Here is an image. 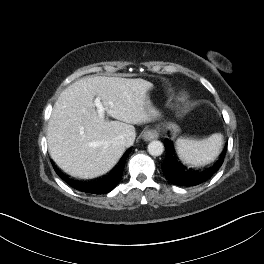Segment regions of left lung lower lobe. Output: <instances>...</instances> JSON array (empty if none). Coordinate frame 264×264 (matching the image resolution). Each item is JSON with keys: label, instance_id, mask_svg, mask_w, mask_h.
Segmentation results:
<instances>
[{"label": "left lung lower lobe", "instance_id": "1", "mask_svg": "<svg viewBox=\"0 0 264 264\" xmlns=\"http://www.w3.org/2000/svg\"><path fill=\"white\" fill-rule=\"evenodd\" d=\"M164 143L167 156L162 164V171L172 184L180 186H195L208 180L222 166L226 154L225 147L219 159L211 167L195 171L186 168L178 161L171 141L166 139Z\"/></svg>", "mask_w": 264, "mask_h": 264}]
</instances>
